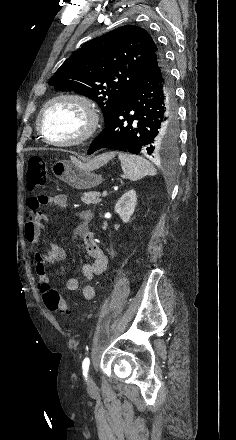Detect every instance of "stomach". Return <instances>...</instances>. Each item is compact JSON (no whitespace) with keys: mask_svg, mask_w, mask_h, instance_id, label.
Instances as JSON below:
<instances>
[{"mask_svg":"<svg viewBox=\"0 0 236 440\" xmlns=\"http://www.w3.org/2000/svg\"><path fill=\"white\" fill-rule=\"evenodd\" d=\"M51 170L58 179L75 189H89L103 182L102 175L94 173L93 168L77 159L57 161Z\"/></svg>","mask_w":236,"mask_h":440,"instance_id":"0dacf381","label":"stomach"}]
</instances>
